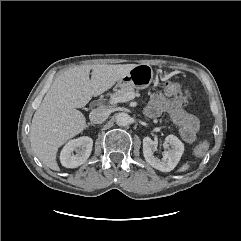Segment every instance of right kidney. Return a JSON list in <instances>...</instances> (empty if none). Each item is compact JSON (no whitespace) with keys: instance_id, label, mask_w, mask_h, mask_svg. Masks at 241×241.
Returning <instances> with one entry per match:
<instances>
[{"instance_id":"right-kidney-1","label":"right kidney","mask_w":241,"mask_h":241,"mask_svg":"<svg viewBox=\"0 0 241 241\" xmlns=\"http://www.w3.org/2000/svg\"><path fill=\"white\" fill-rule=\"evenodd\" d=\"M92 146L93 140L88 136L70 140L60 153L61 164L66 168H76L82 165L89 158Z\"/></svg>"}]
</instances>
